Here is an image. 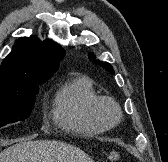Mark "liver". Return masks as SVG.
Listing matches in <instances>:
<instances>
[{"label":"liver","mask_w":168,"mask_h":162,"mask_svg":"<svg viewBox=\"0 0 168 162\" xmlns=\"http://www.w3.org/2000/svg\"><path fill=\"white\" fill-rule=\"evenodd\" d=\"M0 162H93L80 148L59 141H27L0 153Z\"/></svg>","instance_id":"liver-1"}]
</instances>
